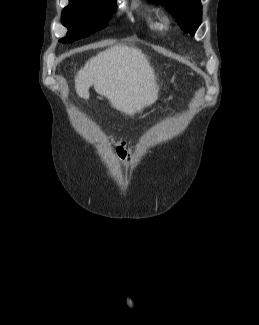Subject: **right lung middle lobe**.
<instances>
[{
    "mask_svg": "<svg viewBox=\"0 0 259 325\" xmlns=\"http://www.w3.org/2000/svg\"><path fill=\"white\" fill-rule=\"evenodd\" d=\"M115 0H69L61 21L68 28L62 43H71L105 27Z\"/></svg>",
    "mask_w": 259,
    "mask_h": 325,
    "instance_id": "dd1d6c3e",
    "label": "right lung middle lobe"
}]
</instances>
